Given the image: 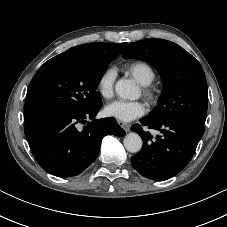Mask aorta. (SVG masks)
<instances>
[{
	"mask_svg": "<svg viewBox=\"0 0 227 227\" xmlns=\"http://www.w3.org/2000/svg\"><path fill=\"white\" fill-rule=\"evenodd\" d=\"M115 91L120 98L130 100L135 99L138 93L135 84L127 79L118 80L115 85ZM123 142L125 149L131 153H137L142 148V139L135 132L127 134Z\"/></svg>",
	"mask_w": 227,
	"mask_h": 227,
	"instance_id": "762f6f07",
	"label": "aorta"
}]
</instances>
